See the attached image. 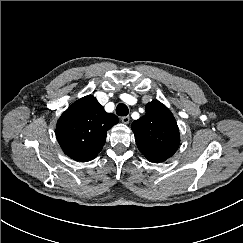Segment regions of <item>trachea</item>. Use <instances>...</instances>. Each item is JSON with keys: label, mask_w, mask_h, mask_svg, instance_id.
I'll list each match as a JSON object with an SVG mask.
<instances>
[{"label": "trachea", "mask_w": 243, "mask_h": 243, "mask_svg": "<svg viewBox=\"0 0 243 243\" xmlns=\"http://www.w3.org/2000/svg\"><path fill=\"white\" fill-rule=\"evenodd\" d=\"M116 113L119 116H126L129 113V109H128V107L125 104L120 103L116 107Z\"/></svg>", "instance_id": "obj_1"}]
</instances>
